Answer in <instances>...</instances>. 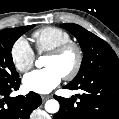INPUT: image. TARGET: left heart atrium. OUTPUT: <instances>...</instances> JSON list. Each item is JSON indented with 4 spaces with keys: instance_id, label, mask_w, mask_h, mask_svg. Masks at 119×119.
<instances>
[{
    "instance_id": "obj_1",
    "label": "left heart atrium",
    "mask_w": 119,
    "mask_h": 119,
    "mask_svg": "<svg viewBox=\"0 0 119 119\" xmlns=\"http://www.w3.org/2000/svg\"><path fill=\"white\" fill-rule=\"evenodd\" d=\"M62 80V75L55 68H44L28 73L23 79L26 90L46 94L57 87Z\"/></svg>"
}]
</instances>
